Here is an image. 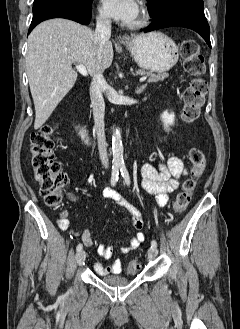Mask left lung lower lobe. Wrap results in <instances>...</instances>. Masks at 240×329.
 Returning <instances> with one entry per match:
<instances>
[{"mask_svg": "<svg viewBox=\"0 0 240 329\" xmlns=\"http://www.w3.org/2000/svg\"><path fill=\"white\" fill-rule=\"evenodd\" d=\"M166 27H186L198 32L206 41L209 47L210 28L204 14L203 6L195 4H177L169 7L156 18L145 29L150 32Z\"/></svg>", "mask_w": 240, "mask_h": 329, "instance_id": "left-lung-lower-lobe-1", "label": "left lung lower lobe"}]
</instances>
